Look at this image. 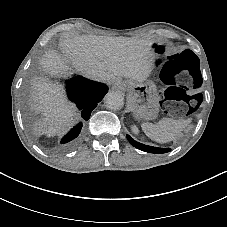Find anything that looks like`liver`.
Returning <instances> with one entry per match:
<instances>
[{"label": "liver", "mask_w": 227, "mask_h": 227, "mask_svg": "<svg viewBox=\"0 0 227 227\" xmlns=\"http://www.w3.org/2000/svg\"><path fill=\"white\" fill-rule=\"evenodd\" d=\"M152 42L128 37L97 35L72 36L62 41L64 57L51 51L40 61L50 75H68L69 63L83 76L108 84H118L121 77L144 82L153 68ZM34 108L44 116L42 133L59 134L76 115L75 106L67 103L61 86L46 78L31 81Z\"/></svg>", "instance_id": "1"}]
</instances>
